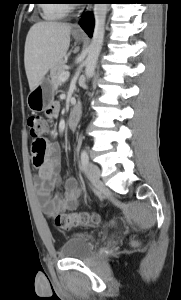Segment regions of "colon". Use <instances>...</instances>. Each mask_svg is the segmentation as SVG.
<instances>
[{
	"mask_svg": "<svg viewBox=\"0 0 181 300\" xmlns=\"http://www.w3.org/2000/svg\"><path fill=\"white\" fill-rule=\"evenodd\" d=\"M27 126L33 139L32 151L42 154L47 147L44 133L49 128V121L39 115H33L27 119ZM99 221L98 215L87 213H63L56 215L53 219L54 225L61 229H70L80 225H97Z\"/></svg>",
	"mask_w": 181,
	"mask_h": 300,
	"instance_id": "1",
	"label": "colon"
}]
</instances>
